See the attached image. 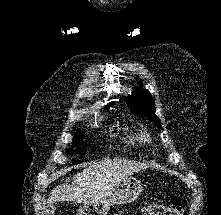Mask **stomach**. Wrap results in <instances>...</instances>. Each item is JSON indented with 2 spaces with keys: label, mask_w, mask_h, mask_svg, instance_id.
<instances>
[{
  "label": "stomach",
  "mask_w": 221,
  "mask_h": 215,
  "mask_svg": "<svg viewBox=\"0 0 221 215\" xmlns=\"http://www.w3.org/2000/svg\"><path fill=\"white\" fill-rule=\"evenodd\" d=\"M142 191L140 180L135 177L125 178L103 199L79 207L78 215H107L112 205L131 203Z\"/></svg>",
  "instance_id": "obj_1"
}]
</instances>
